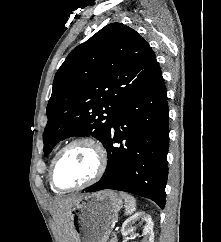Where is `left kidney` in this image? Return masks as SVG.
I'll return each mask as SVG.
<instances>
[{"mask_svg":"<svg viewBox=\"0 0 221 242\" xmlns=\"http://www.w3.org/2000/svg\"><path fill=\"white\" fill-rule=\"evenodd\" d=\"M139 219L146 221V225L143 229V242H154L153 221L151 216L144 212L135 213L123 223L121 228V232L124 237L123 242H127L126 236L134 230L133 224H135V222Z\"/></svg>","mask_w":221,"mask_h":242,"instance_id":"5707ae66","label":"left kidney"}]
</instances>
